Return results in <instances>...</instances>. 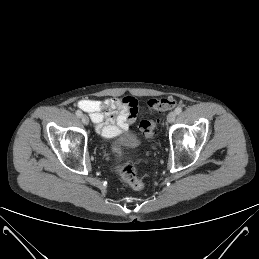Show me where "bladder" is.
Here are the masks:
<instances>
[{
  "label": "bladder",
  "instance_id": "obj_1",
  "mask_svg": "<svg viewBox=\"0 0 259 259\" xmlns=\"http://www.w3.org/2000/svg\"><path fill=\"white\" fill-rule=\"evenodd\" d=\"M119 143L127 148H135L139 144L137 136L132 132H124L119 136Z\"/></svg>",
  "mask_w": 259,
  "mask_h": 259
}]
</instances>
